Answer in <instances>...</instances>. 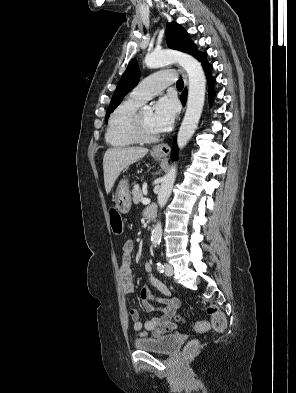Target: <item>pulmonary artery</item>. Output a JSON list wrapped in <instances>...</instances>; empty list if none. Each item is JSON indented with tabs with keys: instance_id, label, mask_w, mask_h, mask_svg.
<instances>
[{
	"instance_id": "1",
	"label": "pulmonary artery",
	"mask_w": 296,
	"mask_h": 393,
	"mask_svg": "<svg viewBox=\"0 0 296 393\" xmlns=\"http://www.w3.org/2000/svg\"><path fill=\"white\" fill-rule=\"evenodd\" d=\"M176 81L173 71H162L143 79L130 93L129 98L142 104Z\"/></svg>"
}]
</instances>
